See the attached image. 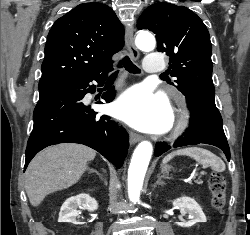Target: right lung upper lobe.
<instances>
[{
	"mask_svg": "<svg viewBox=\"0 0 250 235\" xmlns=\"http://www.w3.org/2000/svg\"><path fill=\"white\" fill-rule=\"evenodd\" d=\"M123 45V25L109 6L78 5L49 31L39 88L108 69Z\"/></svg>",
	"mask_w": 250,
	"mask_h": 235,
	"instance_id": "right-lung-upper-lobe-1",
	"label": "right lung upper lobe"
}]
</instances>
